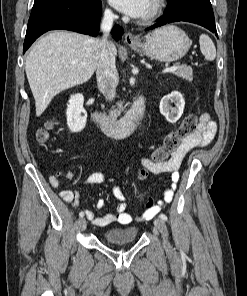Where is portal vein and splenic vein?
I'll use <instances>...</instances> for the list:
<instances>
[{"label": "portal vein and splenic vein", "mask_w": 247, "mask_h": 296, "mask_svg": "<svg viewBox=\"0 0 247 296\" xmlns=\"http://www.w3.org/2000/svg\"><path fill=\"white\" fill-rule=\"evenodd\" d=\"M178 69L177 65H173L171 67L165 68L162 73L174 72Z\"/></svg>", "instance_id": "portal-vein-and-splenic-vein-1"}]
</instances>
